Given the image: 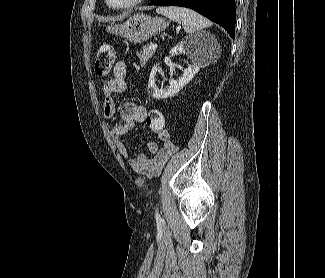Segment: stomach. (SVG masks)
<instances>
[{
    "instance_id": "obj_1",
    "label": "stomach",
    "mask_w": 325,
    "mask_h": 278,
    "mask_svg": "<svg viewBox=\"0 0 325 278\" xmlns=\"http://www.w3.org/2000/svg\"><path fill=\"white\" fill-rule=\"evenodd\" d=\"M168 23L163 18L150 17L143 13L134 14L123 24L108 26L107 31L138 44L166 29Z\"/></svg>"
}]
</instances>
